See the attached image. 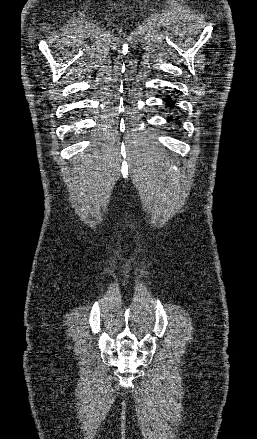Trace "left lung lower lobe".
Returning a JSON list of instances; mask_svg holds the SVG:
<instances>
[{
  "mask_svg": "<svg viewBox=\"0 0 257 439\" xmlns=\"http://www.w3.org/2000/svg\"><path fill=\"white\" fill-rule=\"evenodd\" d=\"M164 100L168 106H174L175 104V101H173L170 97H167ZM168 121H170V119H168Z\"/></svg>",
  "mask_w": 257,
  "mask_h": 439,
  "instance_id": "0a47b994",
  "label": "left lung lower lobe"
}]
</instances>
